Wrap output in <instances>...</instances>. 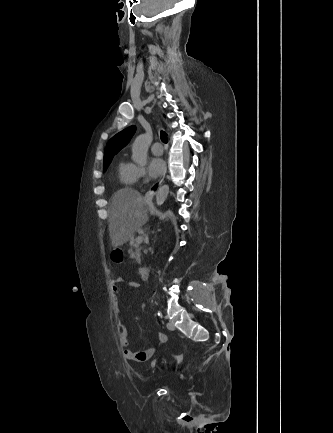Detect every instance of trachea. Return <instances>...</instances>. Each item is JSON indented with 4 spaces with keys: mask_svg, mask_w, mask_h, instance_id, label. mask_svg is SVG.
<instances>
[{
    "mask_svg": "<svg viewBox=\"0 0 333 433\" xmlns=\"http://www.w3.org/2000/svg\"><path fill=\"white\" fill-rule=\"evenodd\" d=\"M160 138L162 140L163 143H167L168 142V138H167V133L164 131L160 132Z\"/></svg>",
    "mask_w": 333,
    "mask_h": 433,
    "instance_id": "obj_1",
    "label": "trachea"
}]
</instances>
